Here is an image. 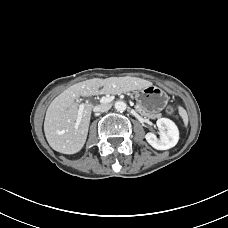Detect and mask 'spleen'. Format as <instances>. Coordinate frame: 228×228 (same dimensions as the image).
I'll use <instances>...</instances> for the list:
<instances>
[{
  "mask_svg": "<svg viewBox=\"0 0 228 228\" xmlns=\"http://www.w3.org/2000/svg\"><path fill=\"white\" fill-rule=\"evenodd\" d=\"M178 110H179V115L181 116V118H182V120L184 122V125L187 126V124H188V115H187L186 110L184 108H182V107H179Z\"/></svg>",
  "mask_w": 228,
  "mask_h": 228,
  "instance_id": "obj_1",
  "label": "spleen"
}]
</instances>
